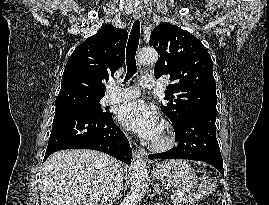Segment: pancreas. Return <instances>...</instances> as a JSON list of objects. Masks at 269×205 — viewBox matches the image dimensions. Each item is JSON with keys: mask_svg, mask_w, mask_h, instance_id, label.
I'll return each instance as SVG.
<instances>
[{"mask_svg": "<svg viewBox=\"0 0 269 205\" xmlns=\"http://www.w3.org/2000/svg\"><path fill=\"white\" fill-rule=\"evenodd\" d=\"M173 201L176 203H182V202H186L187 200L183 197H176V198H173Z\"/></svg>", "mask_w": 269, "mask_h": 205, "instance_id": "cf45deb5", "label": "pancreas"}]
</instances>
